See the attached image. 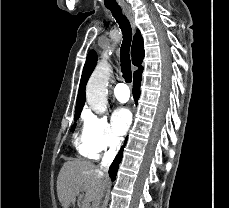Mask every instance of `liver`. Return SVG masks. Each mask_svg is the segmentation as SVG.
Instances as JSON below:
<instances>
[{"mask_svg": "<svg viewBox=\"0 0 229 208\" xmlns=\"http://www.w3.org/2000/svg\"><path fill=\"white\" fill-rule=\"evenodd\" d=\"M107 182L108 180L101 178L97 166L92 162L72 158V162H65L59 172L57 180L59 202L63 208H70L77 194L85 192L84 202L86 204L93 202L91 208H98Z\"/></svg>", "mask_w": 229, "mask_h": 208, "instance_id": "6515ba94", "label": "liver"}]
</instances>
